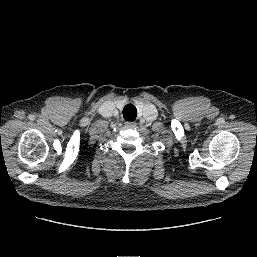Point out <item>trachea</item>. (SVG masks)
I'll return each mask as SVG.
<instances>
[{
    "instance_id": "obj_1",
    "label": "trachea",
    "mask_w": 257,
    "mask_h": 257,
    "mask_svg": "<svg viewBox=\"0 0 257 257\" xmlns=\"http://www.w3.org/2000/svg\"><path fill=\"white\" fill-rule=\"evenodd\" d=\"M137 116V109L132 104H127L123 109V117L127 121H134Z\"/></svg>"
}]
</instances>
